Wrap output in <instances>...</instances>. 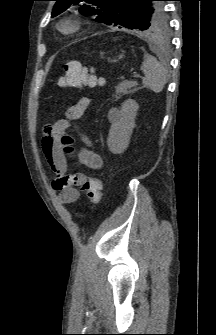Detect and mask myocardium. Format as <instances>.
I'll return each instance as SVG.
<instances>
[{
  "label": "myocardium",
  "mask_w": 216,
  "mask_h": 335,
  "mask_svg": "<svg viewBox=\"0 0 216 335\" xmlns=\"http://www.w3.org/2000/svg\"><path fill=\"white\" fill-rule=\"evenodd\" d=\"M57 28L64 35H72L80 30L81 23L73 16H66L58 22Z\"/></svg>",
  "instance_id": "1"
}]
</instances>
